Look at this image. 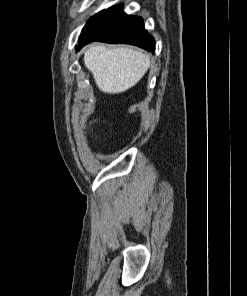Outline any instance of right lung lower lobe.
Masks as SVG:
<instances>
[{
    "mask_svg": "<svg viewBox=\"0 0 247 296\" xmlns=\"http://www.w3.org/2000/svg\"><path fill=\"white\" fill-rule=\"evenodd\" d=\"M86 37L76 50L93 41L112 44H131L149 52L155 51V40L145 30L143 20L122 11V5L105 10L96 20L86 26Z\"/></svg>",
    "mask_w": 247,
    "mask_h": 296,
    "instance_id": "98d812e1",
    "label": "right lung lower lobe"
}]
</instances>
